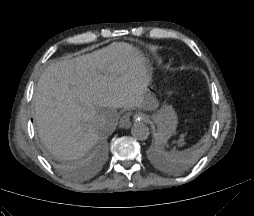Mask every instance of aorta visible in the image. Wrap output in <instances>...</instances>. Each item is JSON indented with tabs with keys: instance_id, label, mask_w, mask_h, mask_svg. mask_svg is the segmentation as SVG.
Listing matches in <instances>:
<instances>
[{
	"instance_id": "obj_1",
	"label": "aorta",
	"mask_w": 254,
	"mask_h": 216,
	"mask_svg": "<svg viewBox=\"0 0 254 216\" xmlns=\"http://www.w3.org/2000/svg\"><path fill=\"white\" fill-rule=\"evenodd\" d=\"M132 136L137 140H146L150 134L148 126L142 122H136L131 128Z\"/></svg>"
}]
</instances>
